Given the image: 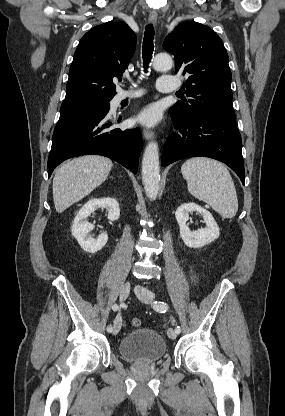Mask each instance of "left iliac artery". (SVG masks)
<instances>
[{
    "label": "left iliac artery",
    "instance_id": "1",
    "mask_svg": "<svg viewBox=\"0 0 285 416\" xmlns=\"http://www.w3.org/2000/svg\"><path fill=\"white\" fill-rule=\"evenodd\" d=\"M154 310L160 312V313H165L168 310V305L162 301H155L154 302V306H153ZM175 331L179 334L181 332V328L180 326H177L175 328Z\"/></svg>",
    "mask_w": 285,
    "mask_h": 416
}]
</instances>
